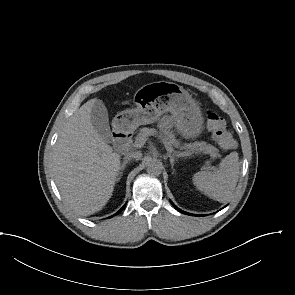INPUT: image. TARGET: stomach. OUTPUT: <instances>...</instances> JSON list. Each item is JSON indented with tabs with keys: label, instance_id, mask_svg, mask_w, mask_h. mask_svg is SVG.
Returning a JSON list of instances; mask_svg holds the SVG:
<instances>
[{
	"label": "stomach",
	"instance_id": "stomach-1",
	"mask_svg": "<svg viewBox=\"0 0 295 295\" xmlns=\"http://www.w3.org/2000/svg\"><path fill=\"white\" fill-rule=\"evenodd\" d=\"M135 104V109L117 115V121L127 129L151 124L166 112L171 113L177 130L186 137H196L203 129L199 104L176 83L159 81L143 86L136 94Z\"/></svg>",
	"mask_w": 295,
	"mask_h": 295
}]
</instances>
